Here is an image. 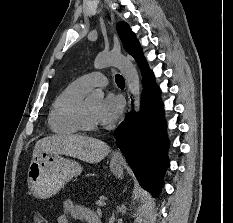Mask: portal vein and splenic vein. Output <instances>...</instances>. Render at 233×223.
Here are the masks:
<instances>
[{"label": "portal vein and splenic vein", "mask_w": 233, "mask_h": 223, "mask_svg": "<svg viewBox=\"0 0 233 223\" xmlns=\"http://www.w3.org/2000/svg\"><path fill=\"white\" fill-rule=\"evenodd\" d=\"M106 202L105 201H97V206H105Z\"/></svg>", "instance_id": "18ae733b"}]
</instances>
